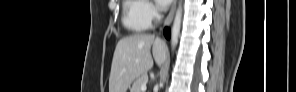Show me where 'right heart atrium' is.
Returning <instances> with one entry per match:
<instances>
[{"label": "right heart atrium", "mask_w": 296, "mask_h": 92, "mask_svg": "<svg viewBox=\"0 0 296 92\" xmlns=\"http://www.w3.org/2000/svg\"><path fill=\"white\" fill-rule=\"evenodd\" d=\"M141 14L148 24H151L159 17L158 9L151 1H142Z\"/></svg>", "instance_id": "obj_1"}]
</instances>
